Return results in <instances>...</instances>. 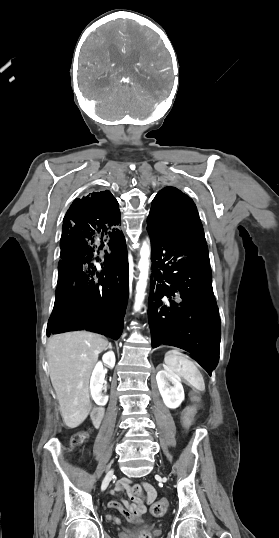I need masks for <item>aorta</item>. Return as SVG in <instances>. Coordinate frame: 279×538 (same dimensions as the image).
Returning <instances> with one entry per match:
<instances>
[{
	"label": "aorta",
	"mask_w": 279,
	"mask_h": 538,
	"mask_svg": "<svg viewBox=\"0 0 279 538\" xmlns=\"http://www.w3.org/2000/svg\"><path fill=\"white\" fill-rule=\"evenodd\" d=\"M149 257H150V248L148 243L145 241L140 250V260L138 263V268L140 270L139 280L136 284V296L134 309L136 311L140 310L141 305L145 298V291L147 287V278L149 271Z\"/></svg>",
	"instance_id": "1"
}]
</instances>
